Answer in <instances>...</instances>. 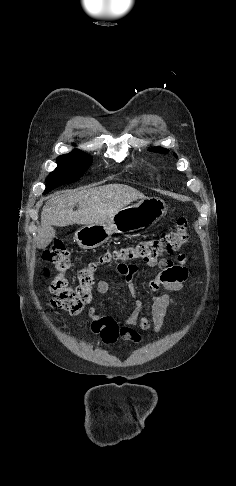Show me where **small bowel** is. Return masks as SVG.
Here are the masks:
<instances>
[{"mask_svg":"<svg viewBox=\"0 0 236 486\" xmlns=\"http://www.w3.org/2000/svg\"><path fill=\"white\" fill-rule=\"evenodd\" d=\"M177 261V264L169 259L147 261L148 266H158L160 269L158 275L150 283L153 296L148 303H143L137 299L136 289L132 282L138 267L135 264H120L118 272L126 280L130 296L134 301L133 308L127 319L118 321L110 315L99 314L96 307H90L86 325L92 333L99 334L106 343L115 342L118 338L131 343H139L141 341L140 331L145 332L151 328L159 331L174 305V298L170 292L180 291L188 277L185 255H179ZM161 288L165 289L167 293L159 294ZM96 290L100 295L106 294L109 290L108 282L99 280ZM148 315L151 317H148ZM135 326L140 331L136 330Z\"/></svg>","mask_w":236,"mask_h":486,"instance_id":"small-bowel-1","label":"small bowel"}]
</instances>
